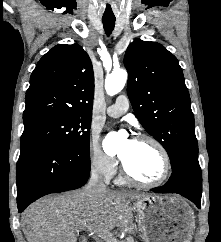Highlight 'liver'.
I'll return each instance as SVG.
<instances>
[{
    "label": "liver",
    "mask_w": 221,
    "mask_h": 242,
    "mask_svg": "<svg viewBox=\"0 0 221 242\" xmlns=\"http://www.w3.org/2000/svg\"><path fill=\"white\" fill-rule=\"evenodd\" d=\"M136 192L85 189L45 197L30 205L21 223L27 242H77L81 230H110L122 227L133 231L131 200L146 197ZM82 238L81 242H86Z\"/></svg>",
    "instance_id": "1"
}]
</instances>
